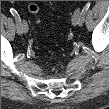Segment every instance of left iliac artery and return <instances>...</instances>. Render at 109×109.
Masks as SVG:
<instances>
[{
  "mask_svg": "<svg viewBox=\"0 0 109 109\" xmlns=\"http://www.w3.org/2000/svg\"><path fill=\"white\" fill-rule=\"evenodd\" d=\"M89 7H90V3H87L83 9H82V12H81V16H80V23L81 25L83 24L84 20H85V14L87 13V11L89 10Z\"/></svg>",
  "mask_w": 109,
  "mask_h": 109,
  "instance_id": "44dca946",
  "label": "left iliac artery"
}]
</instances>
